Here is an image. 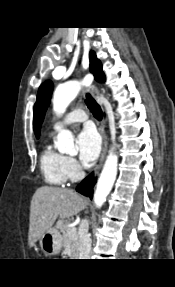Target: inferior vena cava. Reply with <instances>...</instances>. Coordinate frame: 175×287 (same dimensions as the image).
Segmentation results:
<instances>
[{
  "instance_id": "602c4592",
  "label": "inferior vena cava",
  "mask_w": 175,
  "mask_h": 287,
  "mask_svg": "<svg viewBox=\"0 0 175 287\" xmlns=\"http://www.w3.org/2000/svg\"><path fill=\"white\" fill-rule=\"evenodd\" d=\"M88 221L82 220L79 229V259H89L91 250V239L88 234Z\"/></svg>"
}]
</instances>
